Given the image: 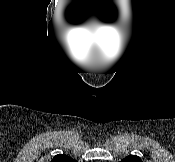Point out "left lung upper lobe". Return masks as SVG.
Wrapping results in <instances>:
<instances>
[{"instance_id":"obj_1","label":"left lung upper lobe","mask_w":175,"mask_h":162,"mask_svg":"<svg viewBox=\"0 0 175 162\" xmlns=\"http://www.w3.org/2000/svg\"><path fill=\"white\" fill-rule=\"evenodd\" d=\"M120 162H142V160L136 155H129Z\"/></svg>"}]
</instances>
